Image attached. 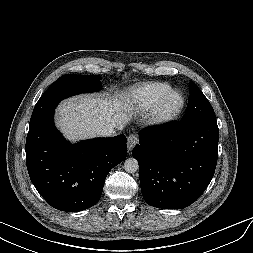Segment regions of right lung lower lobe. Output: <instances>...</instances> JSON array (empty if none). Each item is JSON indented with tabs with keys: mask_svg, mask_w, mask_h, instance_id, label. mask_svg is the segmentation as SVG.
Here are the masks:
<instances>
[{
	"mask_svg": "<svg viewBox=\"0 0 253 253\" xmlns=\"http://www.w3.org/2000/svg\"><path fill=\"white\" fill-rule=\"evenodd\" d=\"M54 110L30 122L26 165L32 183L52 207L78 212L95 205L109 171L127 156L126 137L70 144L57 131Z\"/></svg>",
	"mask_w": 253,
	"mask_h": 253,
	"instance_id": "98d812e1",
	"label": "right lung lower lobe"
}]
</instances>
